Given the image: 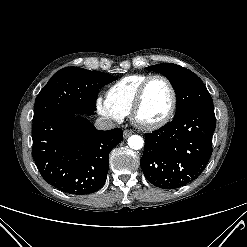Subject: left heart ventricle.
Instances as JSON below:
<instances>
[{"label": "left heart ventricle", "instance_id": "left-heart-ventricle-1", "mask_svg": "<svg viewBox=\"0 0 247 247\" xmlns=\"http://www.w3.org/2000/svg\"><path fill=\"white\" fill-rule=\"evenodd\" d=\"M171 105V91L162 79L153 80L147 87L138 118L143 122H155L166 115Z\"/></svg>", "mask_w": 247, "mask_h": 247}]
</instances>
